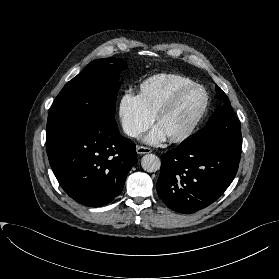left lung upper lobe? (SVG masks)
I'll use <instances>...</instances> for the list:
<instances>
[{
    "mask_svg": "<svg viewBox=\"0 0 279 279\" xmlns=\"http://www.w3.org/2000/svg\"><path fill=\"white\" fill-rule=\"evenodd\" d=\"M218 96L224 101L223 107L216 110L207 125L185 139L181 146L222 144L237 149L242 148L241 125L235 116L226 94L216 86Z\"/></svg>",
    "mask_w": 279,
    "mask_h": 279,
    "instance_id": "left-lung-upper-lobe-1",
    "label": "left lung upper lobe"
}]
</instances>
